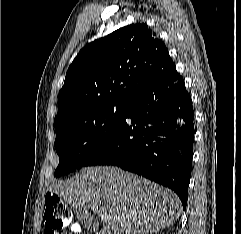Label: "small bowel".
Instances as JSON below:
<instances>
[{"mask_svg":"<svg viewBox=\"0 0 241 234\" xmlns=\"http://www.w3.org/2000/svg\"><path fill=\"white\" fill-rule=\"evenodd\" d=\"M44 234H63V233H60V232H57V231L47 230V231L44 232Z\"/></svg>","mask_w":241,"mask_h":234,"instance_id":"c3829d8e","label":"small bowel"}]
</instances>
